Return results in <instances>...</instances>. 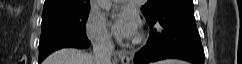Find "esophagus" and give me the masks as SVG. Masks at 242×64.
Masks as SVG:
<instances>
[{
  "instance_id": "obj_1",
  "label": "esophagus",
  "mask_w": 242,
  "mask_h": 64,
  "mask_svg": "<svg viewBox=\"0 0 242 64\" xmlns=\"http://www.w3.org/2000/svg\"><path fill=\"white\" fill-rule=\"evenodd\" d=\"M120 61H121V64H129L130 63V58L127 54H122L120 56Z\"/></svg>"
}]
</instances>
